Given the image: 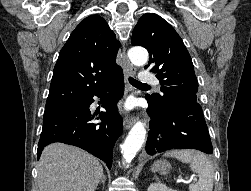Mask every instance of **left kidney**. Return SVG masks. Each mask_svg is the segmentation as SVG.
I'll return each instance as SVG.
<instances>
[{
  "label": "left kidney",
  "mask_w": 251,
  "mask_h": 191,
  "mask_svg": "<svg viewBox=\"0 0 251 191\" xmlns=\"http://www.w3.org/2000/svg\"><path fill=\"white\" fill-rule=\"evenodd\" d=\"M147 191H176V189H170L165 183H150Z\"/></svg>",
  "instance_id": "obj_1"
}]
</instances>
